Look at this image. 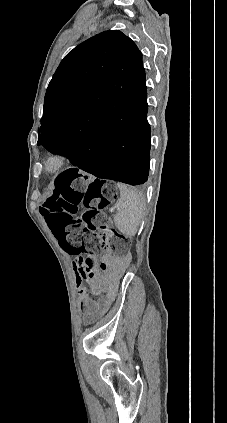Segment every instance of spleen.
Segmentation results:
<instances>
[{"mask_svg": "<svg viewBox=\"0 0 227 423\" xmlns=\"http://www.w3.org/2000/svg\"><path fill=\"white\" fill-rule=\"evenodd\" d=\"M120 190V198L115 204L117 211L114 221L117 229L126 237L135 235L144 211V202L141 194L131 190L123 184H117Z\"/></svg>", "mask_w": 227, "mask_h": 423, "instance_id": "3e777b00", "label": "spleen"}]
</instances>
